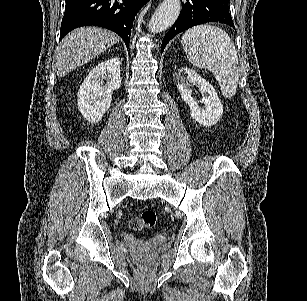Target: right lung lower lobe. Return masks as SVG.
<instances>
[{
  "label": "right lung lower lobe",
  "instance_id": "right-lung-lower-lobe-1",
  "mask_svg": "<svg viewBox=\"0 0 307 301\" xmlns=\"http://www.w3.org/2000/svg\"><path fill=\"white\" fill-rule=\"evenodd\" d=\"M147 1L66 0L60 39L77 27L94 25L116 32L128 48L134 18Z\"/></svg>",
  "mask_w": 307,
  "mask_h": 301
}]
</instances>
